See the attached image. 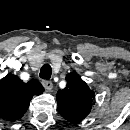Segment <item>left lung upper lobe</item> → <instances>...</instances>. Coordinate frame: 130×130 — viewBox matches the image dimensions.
Masks as SVG:
<instances>
[{"mask_svg":"<svg viewBox=\"0 0 130 130\" xmlns=\"http://www.w3.org/2000/svg\"><path fill=\"white\" fill-rule=\"evenodd\" d=\"M66 81V87L57 92L58 110L66 120L76 123L90 113L93 91L75 72L68 73Z\"/></svg>","mask_w":130,"mask_h":130,"instance_id":"5c2ea615","label":"left lung upper lobe"}]
</instances>
